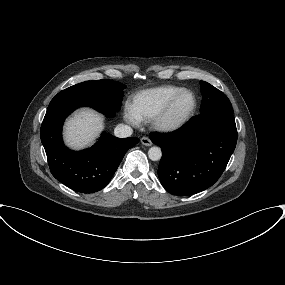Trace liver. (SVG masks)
<instances>
[{
  "mask_svg": "<svg viewBox=\"0 0 285 285\" xmlns=\"http://www.w3.org/2000/svg\"><path fill=\"white\" fill-rule=\"evenodd\" d=\"M104 127V119L91 109H82L65 124V141L68 146L82 149L90 145Z\"/></svg>",
  "mask_w": 285,
  "mask_h": 285,
  "instance_id": "obj_1",
  "label": "liver"
}]
</instances>
